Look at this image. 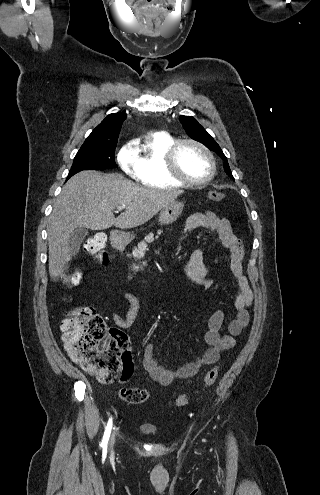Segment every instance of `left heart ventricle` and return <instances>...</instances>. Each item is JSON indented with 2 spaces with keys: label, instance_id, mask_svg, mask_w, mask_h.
Instances as JSON below:
<instances>
[{
  "label": "left heart ventricle",
  "instance_id": "left-heart-ventricle-1",
  "mask_svg": "<svg viewBox=\"0 0 320 495\" xmlns=\"http://www.w3.org/2000/svg\"><path fill=\"white\" fill-rule=\"evenodd\" d=\"M178 165L184 176L194 180L205 178L210 171L207 157L193 145H185L181 148Z\"/></svg>",
  "mask_w": 320,
  "mask_h": 495
}]
</instances>
